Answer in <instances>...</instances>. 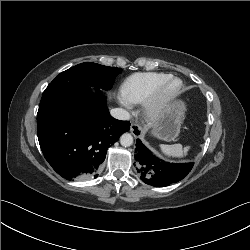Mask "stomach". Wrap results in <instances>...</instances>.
<instances>
[{
  "label": "stomach",
  "instance_id": "obj_1",
  "mask_svg": "<svg viewBox=\"0 0 250 250\" xmlns=\"http://www.w3.org/2000/svg\"><path fill=\"white\" fill-rule=\"evenodd\" d=\"M185 110V104L181 100L171 102L152 125V134L164 141L175 140L179 135Z\"/></svg>",
  "mask_w": 250,
  "mask_h": 250
}]
</instances>
